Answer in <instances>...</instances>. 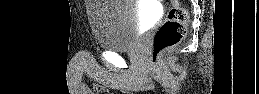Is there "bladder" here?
I'll use <instances>...</instances> for the list:
<instances>
[{
  "label": "bladder",
  "instance_id": "31cf9c89",
  "mask_svg": "<svg viewBox=\"0 0 259 94\" xmlns=\"http://www.w3.org/2000/svg\"><path fill=\"white\" fill-rule=\"evenodd\" d=\"M87 14L93 37L102 49L120 52L136 44L143 20L135 1H89Z\"/></svg>",
  "mask_w": 259,
  "mask_h": 94
}]
</instances>
